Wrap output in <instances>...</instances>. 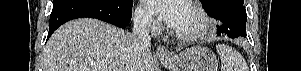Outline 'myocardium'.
I'll return each instance as SVG.
<instances>
[{
  "mask_svg": "<svg viewBox=\"0 0 301 71\" xmlns=\"http://www.w3.org/2000/svg\"><path fill=\"white\" fill-rule=\"evenodd\" d=\"M184 5L191 9V11L197 16L198 18V26L192 31H178L172 30L171 32L173 35L184 41H195L199 38L205 36L210 29V19L207 13L197 4L191 1H185Z\"/></svg>",
  "mask_w": 301,
  "mask_h": 71,
  "instance_id": "1",
  "label": "myocardium"
}]
</instances>
